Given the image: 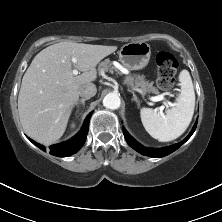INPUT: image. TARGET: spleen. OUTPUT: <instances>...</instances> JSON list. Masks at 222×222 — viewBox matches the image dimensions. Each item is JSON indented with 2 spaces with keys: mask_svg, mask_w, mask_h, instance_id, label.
I'll return each mask as SVG.
<instances>
[{
  "mask_svg": "<svg viewBox=\"0 0 222 222\" xmlns=\"http://www.w3.org/2000/svg\"><path fill=\"white\" fill-rule=\"evenodd\" d=\"M181 91L174 108L166 114L152 108H141L140 117L145 130L160 142L180 137L188 128L194 113L195 93L191 76L187 70L179 74Z\"/></svg>",
  "mask_w": 222,
  "mask_h": 222,
  "instance_id": "1",
  "label": "spleen"
}]
</instances>
